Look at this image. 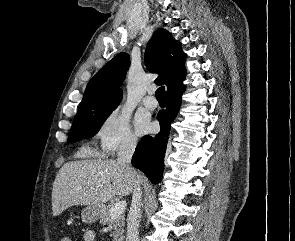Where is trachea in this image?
Segmentation results:
<instances>
[{"label": "trachea", "mask_w": 295, "mask_h": 241, "mask_svg": "<svg viewBox=\"0 0 295 241\" xmlns=\"http://www.w3.org/2000/svg\"><path fill=\"white\" fill-rule=\"evenodd\" d=\"M157 100H166L165 87L161 86L156 90Z\"/></svg>", "instance_id": "trachea-1"}]
</instances>
